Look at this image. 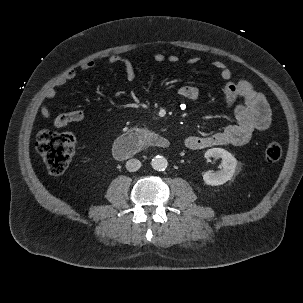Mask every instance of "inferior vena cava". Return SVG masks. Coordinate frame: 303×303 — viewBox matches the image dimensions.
<instances>
[{"instance_id":"obj_1","label":"inferior vena cava","mask_w":303,"mask_h":303,"mask_svg":"<svg viewBox=\"0 0 303 303\" xmlns=\"http://www.w3.org/2000/svg\"><path fill=\"white\" fill-rule=\"evenodd\" d=\"M141 167V162L138 159H130L126 162V169L129 172H135Z\"/></svg>"}]
</instances>
